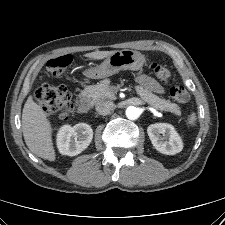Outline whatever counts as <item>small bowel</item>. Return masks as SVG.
I'll list each match as a JSON object with an SVG mask.
<instances>
[{
  "label": "small bowel",
  "instance_id": "small-bowel-1",
  "mask_svg": "<svg viewBox=\"0 0 225 225\" xmlns=\"http://www.w3.org/2000/svg\"><path fill=\"white\" fill-rule=\"evenodd\" d=\"M137 82L140 85H142L145 89L150 90L152 92L155 93L163 92V87L161 86V84L146 74H140L137 77Z\"/></svg>",
  "mask_w": 225,
  "mask_h": 225
}]
</instances>
